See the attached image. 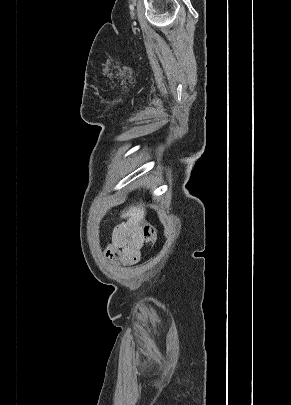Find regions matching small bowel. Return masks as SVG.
Returning a JSON list of instances; mask_svg holds the SVG:
<instances>
[{
	"mask_svg": "<svg viewBox=\"0 0 291 405\" xmlns=\"http://www.w3.org/2000/svg\"><path fill=\"white\" fill-rule=\"evenodd\" d=\"M142 245L141 225L125 222L114 229L106 256L123 263L135 264L140 260Z\"/></svg>",
	"mask_w": 291,
	"mask_h": 405,
	"instance_id": "small-bowel-1",
	"label": "small bowel"
}]
</instances>
